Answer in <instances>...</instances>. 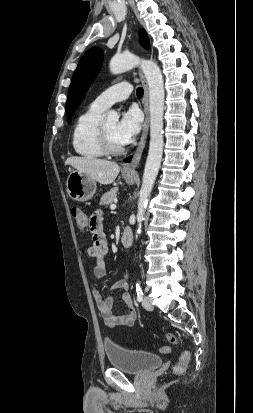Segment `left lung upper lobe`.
Listing matches in <instances>:
<instances>
[{"label": "left lung upper lobe", "instance_id": "left-lung-upper-lobe-1", "mask_svg": "<svg viewBox=\"0 0 253 413\" xmlns=\"http://www.w3.org/2000/svg\"><path fill=\"white\" fill-rule=\"evenodd\" d=\"M140 41L145 47H149V40L144 30L140 31ZM103 61V52L100 48L93 47L86 51L81 57L77 69L74 72L69 87L66 101V114L68 123L71 122L72 115L84 98L88 88L98 74Z\"/></svg>", "mask_w": 253, "mask_h": 413}]
</instances>
